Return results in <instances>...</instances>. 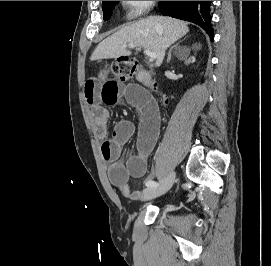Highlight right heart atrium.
I'll list each match as a JSON object with an SVG mask.
<instances>
[{
    "label": "right heart atrium",
    "mask_w": 271,
    "mask_h": 266,
    "mask_svg": "<svg viewBox=\"0 0 271 266\" xmlns=\"http://www.w3.org/2000/svg\"><path fill=\"white\" fill-rule=\"evenodd\" d=\"M128 17L136 18L146 13L155 1H122Z\"/></svg>",
    "instance_id": "d8ad5b80"
}]
</instances>
